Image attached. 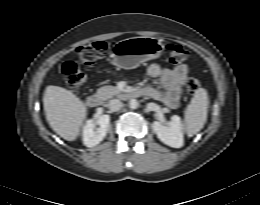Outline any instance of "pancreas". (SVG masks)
Returning a JSON list of instances; mask_svg holds the SVG:
<instances>
[{
  "mask_svg": "<svg viewBox=\"0 0 260 205\" xmlns=\"http://www.w3.org/2000/svg\"><path fill=\"white\" fill-rule=\"evenodd\" d=\"M121 90L115 86H103L97 90V96L103 100L112 98L113 96L118 95Z\"/></svg>",
  "mask_w": 260,
  "mask_h": 205,
  "instance_id": "cf45deb5",
  "label": "pancreas"
}]
</instances>
